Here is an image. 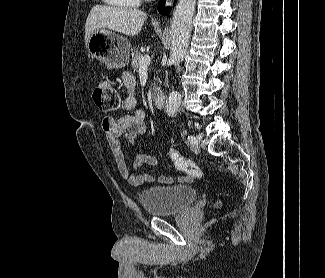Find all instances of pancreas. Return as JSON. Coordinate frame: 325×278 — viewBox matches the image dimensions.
<instances>
[{
    "label": "pancreas",
    "instance_id": "pancreas-1",
    "mask_svg": "<svg viewBox=\"0 0 325 278\" xmlns=\"http://www.w3.org/2000/svg\"><path fill=\"white\" fill-rule=\"evenodd\" d=\"M131 65L134 72H138L140 68V60L142 58V54L137 49L131 50Z\"/></svg>",
    "mask_w": 325,
    "mask_h": 278
}]
</instances>
